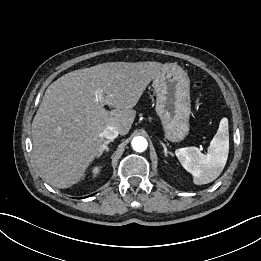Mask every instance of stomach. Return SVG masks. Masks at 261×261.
Masks as SVG:
<instances>
[{"label":"stomach","instance_id":"0dacf381","mask_svg":"<svg viewBox=\"0 0 261 261\" xmlns=\"http://www.w3.org/2000/svg\"><path fill=\"white\" fill-rule=\"evenodd\" d=\"M156 93V113L166 139L182 141L189 133L191 113L190 80L187 73L176 64H166L153 79Z\"/></svg>","mask_w":261,"mask_h":261}]
</instances>
